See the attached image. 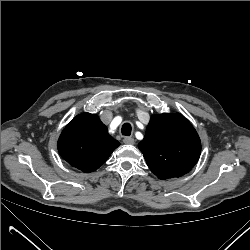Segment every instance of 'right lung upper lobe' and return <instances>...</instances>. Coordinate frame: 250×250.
Returning a JSON list of instances; mask_svg holds the SVG:
<instances>
[{
	"label": "right lung upper lobe",
	"mask_w": 250,
	"mask_h": 250,
	"mask_svg": "<svg viewBox=\"0 0 250 250\" xmlns=\"http://www.w3.org/2000/svg\"><path fill=\"white\" fill-rule=\"evenodd\" d=\"M119 145L99 117L90 113L75 116L57 144L61 157L85 173L97 170Z\"/></svg>",
	"instance_id": "1"
}]
</instances>
